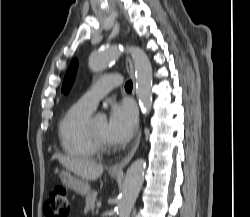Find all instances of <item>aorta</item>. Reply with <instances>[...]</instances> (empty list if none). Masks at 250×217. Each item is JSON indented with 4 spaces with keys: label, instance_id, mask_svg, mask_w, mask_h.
Here are the masks:
<instances>
[{
    "label": "aorta",
    "instance_id": "762f6f07",
    "mask_svg": "<svg viewBox=\"0 0 250 217\" xmlns=\"http://www.w3.org/2000/svg\"><path fill=\"white\" fill-rule=\"evenodd\" d=\"M135 77L136 95L143 114L147 115L152 107V83L153 73L150 60L146 53L139 47H131ZM122 50L117 46H108L101 51L91 54L89 67L94 72L104 70L109 63L115 61L120 56ZM146 162L138 159L133 162L126 172L123 183L121 197L117 206L119 217H130L131 210L136 202L143 184Z\"/></svg>",
    "mask_w": 250,
    "mask_h": 217
}]
</instances>
